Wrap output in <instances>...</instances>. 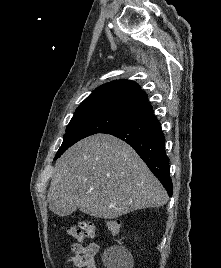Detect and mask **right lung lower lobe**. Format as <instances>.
<instances>
[{"instance_id":"1","label":"right lung lower lobe","mask_w":221,"mask_h":268,"mask_svg":"<svg viewBox=\"0 0 221 268\" xmlns=\"http://www.w3.org/2000/svg\"><path fill=\"white\" fill-rule=\"evenodd\" d=\"M101 133L114 135L133 147L162 183L169 196H172L169 158L164 147L165 137L161 130V124L153 113L124 121Z\"/></svg>"}]
</instances>
